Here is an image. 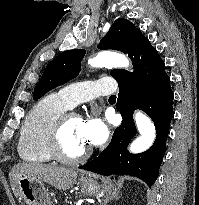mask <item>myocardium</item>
<instances>
[{
    "label": "myocardium",
    "instance_id": "1",
    "mask_svg": "<svg viewBox=\"0 0 199 205\" xmlns=\"http://www.w3.org/2000/svg\"><path fill=\"white\" fill-rule=\"evenodd\" d=\"M78 117L74 112L65 111L55 120L52 127L50 128L47 138H46V150L50 157L63 164H73L82 161L89 157L91 154V148L87 147L80 153L75 155H68L64 152L62 148V134L67 121L71 117Z\"/></svg>",
    "mask_w": 199,
    "mask_h": 205
}]
</instances>
